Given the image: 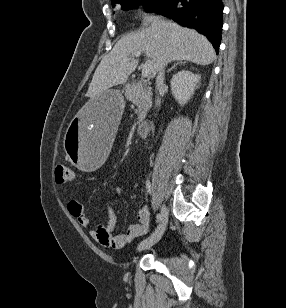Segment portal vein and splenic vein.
Segmentation results:
<instances>
[{
  "label": "portal vein and splenic vein",
  "mask_w": 286,
  "mask_h": 308,
  "mask_svg": "<svg viewBox=\"0 0 286 308\" xmlns=\"http://www.w3.org/2000/svg\"><path fill=\"white\" fill-rule=\"evenodd\" d=\"M142 54V51H136L132 54V57H138ZM153 62L151 60H147L142 69V77H148L152 71Z\"/></svg>",
  "instance_id": "obj_1"
}]
</instances>
